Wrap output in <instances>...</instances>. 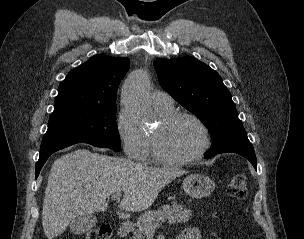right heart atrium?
Instances as JSON below:
<instances>
[{
  "mask_svg": "<svg viewBox=\"0 0 304 239\" xmlns=\"http://www.w3.org/2000/svg\"><path fill=\"white\" fill-rule=\"evenodd\" d=\"M116 127L126 155L133 159L146 160L150 153L151 139L135 124L124 108L117 116Z\"/></svg>",
  "mask_w": 304,
  "mask_h": 239,
  "instance_id": "d8ad5b80",
  "label": "right heart atrium"
}]
</instances>
